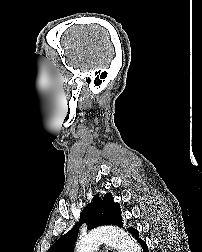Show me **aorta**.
Listing matches in <instances>:
<instances>
[{"label": "aorta", "mask_w": 202, "mask_h": 252, "mask_svg": "<svg viewBox=\"0 0 202 252\" xmlns=\"http://www.w3.org/2000/svg\"><path fill=\"white\" fill-rule=\"evenodd\" d=\"M102 241L118 248L119 252H141L135 239L124 230L116 227L91 232L78 242L76 252H95Z\"/></svg>", "instance_id": "obj_1"}]
</instances>
